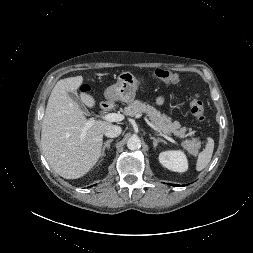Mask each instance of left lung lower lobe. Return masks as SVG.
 <instances>
[{"label":"left lung lower lobe","instance_id":"0a47b994","mask_svg":"<svg viewBox=\"0 0 253 253\" xmlns=\"http://www.w3.org/2000/svg\"><path fill=\"white\" fill-rule=\"evenodd\" d=\"M173 186H179V185H175V184H173Z\"/></svg>","mask_w":253,"mask_h":253}]
</instances>
